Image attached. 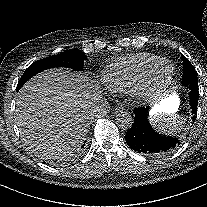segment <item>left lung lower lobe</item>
<instances>
[{"instance_id":"0a47b994","label":"left lung lower lobe","mask_w":207,"mask_h":207,"mask_svg":"<svg viewBox=\"0 0 207 207\" xmlns=\"http://www.w3.org/2000/svg\"><path fill=\"white\" fill-rule=\"evenodd\" d=\"M190 107L193 119L196 117L199 98L198 84H190ZM135 119L132 127L125 135L127 144L135 151L144 154H164L180 144L178 138L158 134L148 121L149 107L134 109Z\"/></svg>"}]
</instances>
